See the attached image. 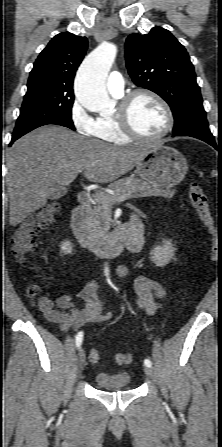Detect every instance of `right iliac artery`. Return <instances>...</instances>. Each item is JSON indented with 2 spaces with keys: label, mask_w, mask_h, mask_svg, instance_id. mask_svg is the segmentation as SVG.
<instances>
[{
  "label": "right iliac artery",
  "mask_w": 222,
  "mask_h": 447,
  "mask_svg": "<svg viewBox=\"0 0 222 447\" xmlns=\"http://www.w3.org/2000/svg\"><path fill=\"white\" fill-rule=\"evenodd\" d=\"M76 341V346H77V348H80V346H81V344H82V340H83V332L81 331V332H79L77 335H76V339H75Z\"/></svg>",
  "instance_id": "1"
}]
</instances>
